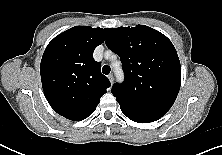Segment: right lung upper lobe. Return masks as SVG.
Returning a JSON list of instances; mask_svg holds the SVG:
<instances>
[{"instance_id":"cb5924a9","label":"right lung upper lobe","mask_w":222,"mask_h":155,"mask_svg":"<svg viewBox=\"0 0 222 155\" xmlns=\"http://www.w3.org/2000/svg\"><path fill=\"white\" fill-rule=\"evenodd\" d=\"M105 40L102 28L76 26L56 36L46 47L40 65L41 81L50 106L73 121L89 117L110 87L93 58Z\"/></svg>"}]
</instances>
